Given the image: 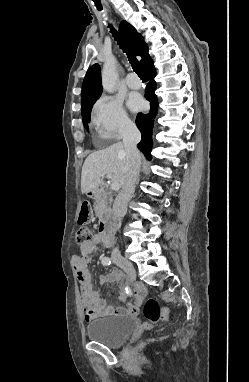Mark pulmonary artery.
I'll return each mask as SVG.
<instances>
[{
	"mask_svg": "<svg viewBox=\"0 0 249 382\" xmlns=\"http://www.w3.org/2000/svg\"><path fill=\"white\" fill-rule=\"evenodd\" d=\"M126 84L131 89H139L141 87V81L134 73L127 75Z\"/></svg>",
	"mask_w": 249,
	"mask_h": 382,
	"instance_id": "e3ab8cb5",
	"label": "pulmonary artery"
}]
</instances>
